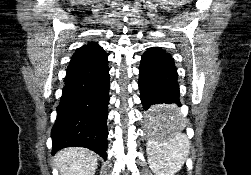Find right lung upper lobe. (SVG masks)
I'll list each match as a JSON object with an SVG mask.
<instances>
[{
    "label": "right lung upper lobe",
    "instance_id": "cb5924a9",
    "mask_svg": "<svg viewBox=\"0 0 251 175\" xmlns=\"http://www.w3.org/2000/svg\"><path fill=\"white\" fill-rule=\"evenodd\" d=\"M106 55V52L101 46H99L97 43L90 42L76 50L69 65L74 66L78 64L90 63L97 61Z\"/></svg>",
    "mask_w": 251,
    "mask_h": 175
}]
</instances>
